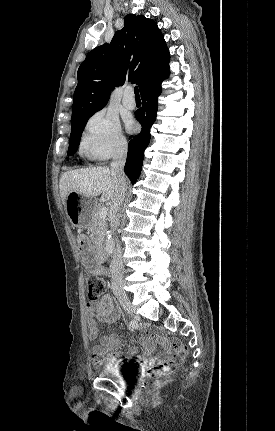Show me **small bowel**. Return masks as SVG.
Returning <instances> with one entry per match:
<instances>
[{"instance_id": "obj_1", "label": "small bowel", "mask_w": 275, "mask_h": 431, "mask_svg": "<svg viewBox=\"0 0 275 431\" xmlns=\"http://www.w3.org/2000/svg\"><path fill=\"white\" fill-rule=\"evenodd\" d=\"M78 246L86 265L89 268L94 269L97 275H106L105 270L94 263L91 243L85 237L80 236L78 238ZM86 314L89 340H95L98 337L99 331L97 321L105 325L120 323V311L114 306L113 299L109 294H105L97 302L88 303L86 306ZM139 329L143 330L145 333V336L140 339L145 355L151 353L154 347V341L167 350L169 357L163 361L159 360L157 365L166 362V370L168 371L176 360H179L184 356L183 346L176 340L165 338L157 328L147 323H143L139 326ZM120 347L121 340L118 335H102L100 337L99 344L92 348L93 362L100 365L119 361L123 356L120 351ZM135 353L136 349L132 348L129 355H133ZM140 359L145 365L150 363L144 355L141 356Z\"/></svg>"}]
</instances>
